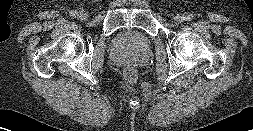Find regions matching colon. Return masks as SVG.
<instances>
[{
	"label": "colon",
	"mask_w": 253,
	"mask_h": 131,
	"mask_svg": "<svg viewBox=\"0 0 253 131\" xmlns=\"http://www.w3.org/2000/svg\"><path fill=\"white\" fill-rule=\"evenodd\" d=\"M125 75H126V78L131 82H133L136 79V74H135L134 70H132V69H127L125 71Z\"/></svg>",
	"instance_id": "5ec220e1"
}]
</instances>
